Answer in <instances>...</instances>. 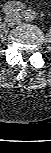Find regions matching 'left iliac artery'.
I'll list each match as a JSON object with an SVG mask.
<instances>
[{"mask_svg":"<svg viewBox=\"0 0 51 153\" xmlns=\"http://www.w3.org/2000/svg\"><path fill=\"white\" fill-rule=\"evenodd\" d=\"M22 16L26 21H33L35 19L36 14L31 9H27L22 12Z\"/></svg>","mask_w":51,"mask_h":153,"instance_id":"left-iliac-artery-1","label":"left iliac artery"}]
</instances>
